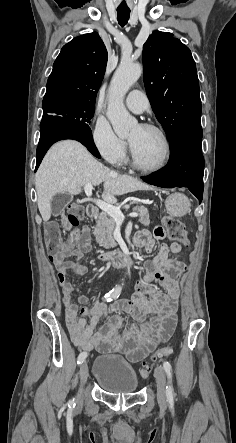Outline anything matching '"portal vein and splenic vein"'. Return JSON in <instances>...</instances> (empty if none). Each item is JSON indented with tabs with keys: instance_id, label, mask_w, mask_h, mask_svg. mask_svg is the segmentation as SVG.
<instances>
[{
	"instance_id": "portal-vein-and-splenic-vein-1",
	"label": "portal vein and splenic vein",
	"mask_w": 236,
	"mask_h": 443,
	"mask_svg": "<svg viewBox=\"0 0 236 443\" xmlns=\"http://www.w3.org/2000/svg\"><path fill=\"white\" fill-rule=\"evenodd\" d=\"M93 185L88 183L84 186L85 193L88 197L92 196ZM95 204L103 211L106 212L109 216H111L116 222H123L125 216L121 212L120 208L112 206L104 201L95 200ZM130 217H137L138 213L133 212L129 214Z\"/></svg>"
}]
</instances>
